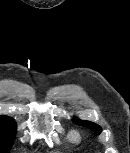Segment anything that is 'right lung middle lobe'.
<instances>
[{
    "label": "right lung middle lobe",
    "mask_w": 130,
    "mask_h": 153,
    "mask_svg": "<svg viewBox=\"0 0 130 153\" xmlns=\"http://www.w3.org/2000/svg\"><path fill=\"white\" fill-rule=\"evenodd\" d=\"M16 134V122L8 116H0V153H9Z\"/></svg>",
    "instance_id": "right-lung-middle-lobe-1"
}]
</instances>
